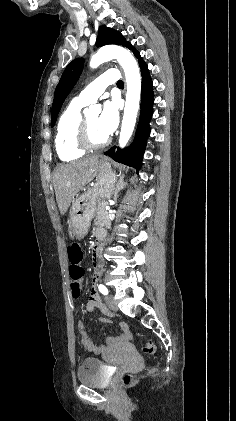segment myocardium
<instances>
[{
  "label": "myocardium",
  "mask_w": 236,
  "mask_h": 421,
  "mask_svg": "<svg viewBox=\"0 0 236 421\" xmlns=\"http://www.w3.org/2000/svg\"><path fill=\"white\" fill-rule=\"evenodd\" d=\"M75 141L80 149L83 151H93L97 149H101L107 146L110 142V137L107 136L105 140L100 143H94L90 140L87 131V117L82 116L78 121L75 133H74Z\"/></svg>",
  "instance_id": "myocardium-1"
}]
</instances>
